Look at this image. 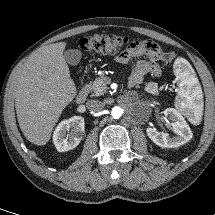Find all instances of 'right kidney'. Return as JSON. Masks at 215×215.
Returning a JSON list of instances; mask_svg holds the SVG:
<instances>
[{
    "mask_svg": "<svg viewBox=\"0 0 215 215\" xmlns=\"http://www.w3.org/2000/svg\"><path fill=\"white\" fill-rule=\"evenodd\" d=\"M84 118L74 116L58 124L53 134V142L59 152L75 148L84 135Z\"/></svg>",
    "mask_w": 215,
    "mask_h": 215,
    "instance_id": "ca27d5eb",
    "label": "right kidney"
}]
</instances>
